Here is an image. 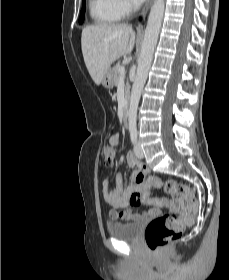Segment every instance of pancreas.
Returning <instances> with one entry per match:
<instances>
[{
  "mask_svg": "<svg viewBox=\"0 0 229 280\" xmlns=\"http://www.w3.org/2000/svg\"><path fill=\"white\" fill-rule=\"evenodd\" d=\"M123 67L121 65L120 62H118L114 68H113V71H114V84L115 85H118L119 81H120V72H119V69ZM129 89H130V85H129V82L126 83V94L129 92Z\"/></svg>",
  "mask_w": 229,
  "mask_h": 280,
  "instance_id": "obj_1",
  "label": "pancreas"
}]
</instances>
